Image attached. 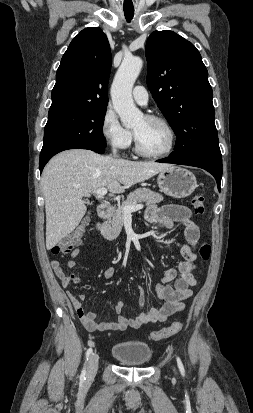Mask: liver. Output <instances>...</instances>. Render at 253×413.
<instances>
[{
	"label": "liver",
	"instance_id": "obj_1",
	"mask_svg": "<svg viewBox=\"0 0 253 413\" xmlns=\"http://www.w3.org/2000/svg\"><path fill=\"white\" fill-rule=\"evenodd\" d=\"M172 166L135 162L73 149L54 156L45 166L41 186L45 198L46 248L52 249L79 225L86 213L83 196L100 188L120 194Z\"/></svg>",
	"mask_w": 253,
	"mask_h": 413
}]
</instances>
